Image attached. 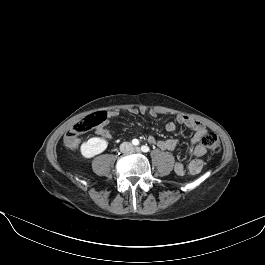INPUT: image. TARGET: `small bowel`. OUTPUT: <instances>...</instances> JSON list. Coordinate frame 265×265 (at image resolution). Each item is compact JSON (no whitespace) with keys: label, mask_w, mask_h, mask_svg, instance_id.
<instances>
[{"label":"small bowel","mask_w":265,"mask_h":265,"mask_svg":"<svg viewBox=\"0 0 265 265\" xmlns=\"http://www.w3.org/2000/svg\"><path fill=\"white\" fill-rule=\"evenodd\" d=\"M129 112L131 114H144L147 112V109L145 107H141L139 109L132 108L129 110ZM117 115V111L108 112V114H106V119L96 128V133L102 138L108 140L111 139L112 135L108 129L107 118L116 117ZM149 115L155 118L157 116V112L154 110H150ZM177 125L186 126L194 132V135L191 139L190 146L188 149V155L191 160L187 164H183L182 162H176L174 165V171L177 175H184L186 172L192 175H196L200 173L203 168L202 158L206 154V150L201 144V139L207 133V129L201 121L195 120L185 115L176 116L173 121H170L166 124L165 129L168 132H173L177 128ZM150 141L164 150H174L178 146V141L175 139L157 140L155 138H151Z\"/></svg>","instance_id":"c3829d8e"}]
</instances>
